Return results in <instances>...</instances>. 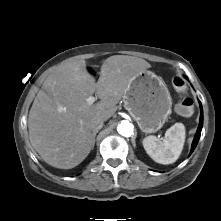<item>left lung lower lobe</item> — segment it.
Instances as JSON below:
<instances>
[{
	"label": "left lung lower lobe",
	"instance_id": "obj_1",
	"mask_svg": "<svg viewBox=\"0 0 221 221\" xmlns=\"http://www.w3.org/2000/svg\"><path fill=\"white\" fill-rule=\"evenodd\" d=\"M199 104H200V111H201L200 121H199V126L197 129L196 135H195L193 143H192V148H191L190 154L194 151L195 147L197 146V143H198L200 135H201L202 126H203V110H202V105H201L200 101H199Z\"/></svg>",
	"mask_w": 221,
	"mask_h": 221
}]
</instances>
